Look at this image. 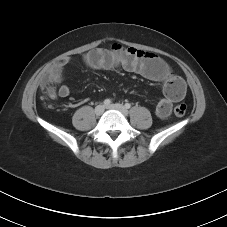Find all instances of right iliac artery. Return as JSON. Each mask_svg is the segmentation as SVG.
Here are the masks:
<instances>
[{"instance_id": "obj_1", "label": "right iliac artery", "mask_w": 227, "mask_h": 227, "mask_svg": "<svg viewBox=\"0 0 227 227\" xmlns=\"http://www.w3.org/2000/svg\"><path fill=\"white\" fill-rule=\"evenodd\" d=\"M103 103H104L105 106H109L111 104V100L105 99Z\"/></svg>"}]
</instances>
